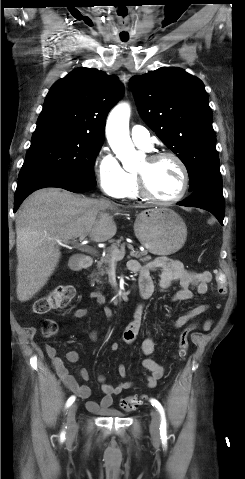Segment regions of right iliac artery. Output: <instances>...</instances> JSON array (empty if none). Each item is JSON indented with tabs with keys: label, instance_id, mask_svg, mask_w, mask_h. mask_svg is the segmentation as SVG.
Masks as SVG:
<instances>
[{
	"label": "right iliac artery",
	"instance_id": "right-iliac-artery-1",
	"mask_svg": "<svg viewBox=\"0 0 245 479\" xmlns=\"http://www.w3.org/2000/svg\"><path fill=\"white\" fill-rule=\"evenodd\" d=\"M76 397L75 396H71L67 402H66V408H68L69 406H71L73 404V402L75 401ZM62 435H65V432L63 431L62 432Z\"/></svg>",
	"mask_w": 245,
	"mask_h": 479
}]
</instances>
